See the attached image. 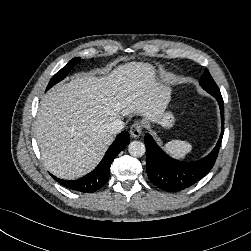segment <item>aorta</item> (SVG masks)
<instances>
[{"mask_svg": "<svg viewBox=\"0 0 251 251\" xmlns=\"http://www.w3.org/2000/svg\"><path fill=\"white\" fill-rule=\"evenodd\" d=\"M128 151L131 156L141 157L145 154L146 148L141 141H132L128 146Z\"/></svg>", "mask_w": 251, "mask_h": 251, "instance_id": "aorta-1", "label": "aorta"}]
</instances>
